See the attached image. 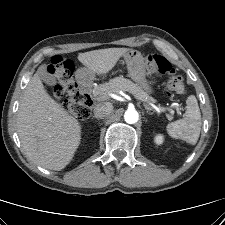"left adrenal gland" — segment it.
Segmentation results:
<instances>
[{"label": "left adrenal gland", "instance_id": "1", "mask_svg": "<svg viewBox=\"0 0 225 225\" xmlns=\"http://www.w3.org/2000/svg\"><path fill=\"white\" fill-rule=\"evenodd\" d=\"M145 109L147 110V113H151V111H153V113L155 112V110H153L151 107H149L148 105L144 104Z\"/></svg>", "mask_w": 225, "mask_h": 225}]
</instances>
